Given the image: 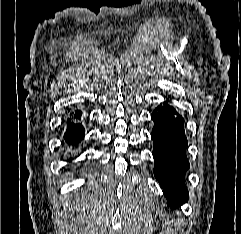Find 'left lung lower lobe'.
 <instances>
[{
	"mask_svg": "<svg viewBox=\"0 0 241 234\" xmlns=\"http://www.w3.org/2000/svg\"><path fill=\"white\" fill-rule=\"evenodd\" d=\"M152 113L154 175L172 208L188 201L184 175L189 169L184 119L168 104Z\"/></svg>",
	"mask_w": 241,
	"mask_h": 234,
	"instance_id": "obj_1",
	"label": "left lung lower lobe"
}]
</instances>
